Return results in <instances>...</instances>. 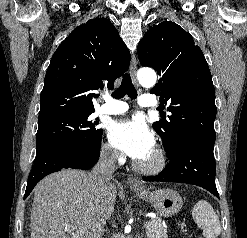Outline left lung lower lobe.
I'll return each mask as SVG.
<instances>
[{
	"mask_svg": "<svg viewBox=\"0 0 247 238\" xmlns=\"http://www.w3.org/2000/svg\"><path fill=\"white\" fill-rule=\"evenodd\" d=\"M166 155L169 163L157 176L145 181L188 183L203 187L219 197L215 185L216 164L213 148L192 139L180 140Z\"/></svg>",
	"mask_w": 247,
	"mask_h": 238,
	"instance_id": "0a47b994",
	"label": "left lung lower lobe"
}]
</instances>
